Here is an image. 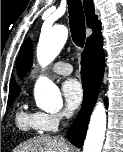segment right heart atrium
<instances>
[{
    "mask_svg": "<svg viewBox=\"0 0 123 152\" xmlns=\"http://www.w3.org/2000/svg\"><path fill=\"white\" fill-rule=\"evenodd\" d=\"M69 116L67 110H63L57 113H37V123L41 131L51 132L58 128L61 122Z\"/></svg>",
    "mask_w": 123,
    "mask_h": 152,
    "instance_id": "obj_1",
    "label": "right heart atrium"
}]
</instances>
